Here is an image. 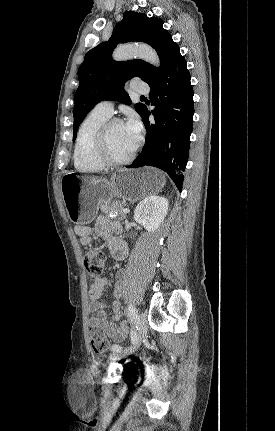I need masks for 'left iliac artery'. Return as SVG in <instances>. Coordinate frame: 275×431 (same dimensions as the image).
Here are the masks:
<instances>
[{
    "label": "left iliac artery",
    "instance_id": "left-iliac-artery-1",
    "mask_svg": "<svg viewBox=\"0 0 275 431\" xmlns=\"http://www.w3.org/2000/svg\"><path fill=\"white\" fill-rule=\"evenodd\" d=\"M128 317H129V320L131 321V322H134V321H136L137 320V311H136V308L134 307V305H132V304H129V306H128ZM130 338H131V343L133 344V345H135L136 344V342H137V335H136V332L135 331H131V334H130ZM123 349V347L122 346H120V345H112V347H111V350L112 351H121Z\"/></svg>",
    "mask_w": 275,
    "mask_h": 431
}]
</instances>
